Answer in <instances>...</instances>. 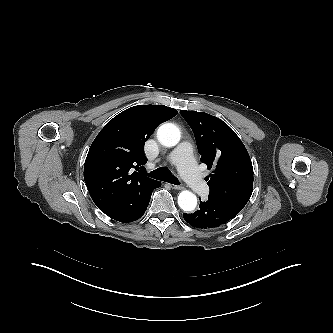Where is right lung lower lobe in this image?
Returning a JSON list of instances; mask_svg holds the SVG:
<instances>
[{"label": "right lung lower lobe", "instance_id": "obj_1", "mask_svg": "<svg viewBox=\"0 0 333 333\" xmlns=\"http://www.w3.org/2000/svg\"><path fill=\"white\" fill-rule=\"evenodd\" d=\"M160 186V182L154 181L147 187L131 194L123 204L103 212L116 221L133 222L145 213L152 191Z\"/></svg>", "mask_w": 333, "mask_h": 333}]
</instances>
